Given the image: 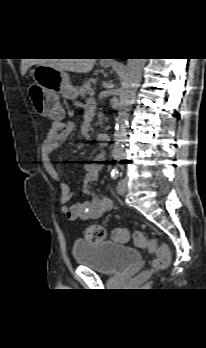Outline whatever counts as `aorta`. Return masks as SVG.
I'll return each mask as SVG.
<instances>
[{"label": "aorta", "instance_id": "1", "mask_svg": "<svg viewBox=\"0 0 206 348\" xmlns=\"http://www.w3.org/2000/svg\"><path fill=\"white\" fill-rule=\"evenodd\" d=\"M146 59H128L125 74L120 88V108L116 118L113 156L121 158L124 156L123 142L127 136L129 122V108L136 97L137 88L142 79L143 68Z\"/></svg>", "mask_w": 206, "mask_h": 348}]
</instances>
